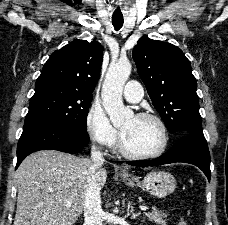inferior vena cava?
Here are the masks:
<instances>
[{"label":"inferior vena cava","instance_id":"602c4592","mask_svg":"<svg viewBox=\"0 0 228 225\" xmlns=\"http://www.w3.org/2000/svg\"><path fill=\"white\" fill-rule=\"evenodd\" d=\"M91 161H93V173L85 187L84 201V225H103V211L101 209V189L97 183V169L104 163L102 153L96 147L91 149Z\"/></svg>","mask_w":228,"mask_h":225}]
</instances>
